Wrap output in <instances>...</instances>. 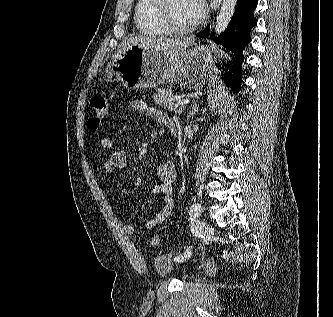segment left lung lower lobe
Instances as JSON below:
<instances>
[{"label":"left lung lower lobe","mask_w":333,"mask_h":317,"mask_svg":"<svg viewBox=\"0 0 333 317\" xmlns=\"http://www.w3.org/2000/svg\"><path fill=\"white\" fill-rule=\"evenodd\" d=\"M257 0H238L235 12L226 30L219 36L211 33V38L232 52V59L224 64L226 73L224 82L231 86L234 92H238L241 84V64L244 60L243 50L251 41L250 30L257 24L254 10ZM197 37L207 38L210 36V25L199 32Z\"/></svg>","instance_id":"0a47b994"}]
</instances>
